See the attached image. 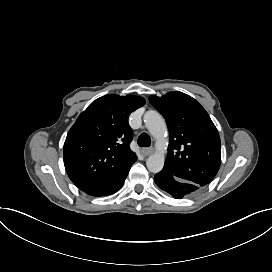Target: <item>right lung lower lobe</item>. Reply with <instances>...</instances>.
<instances>
[{"label": "right lung lower lobe", "mask_w": 272, "mask_h": 272, "mask_svg": "<svg viewBox=\"0 0 272 272\" xmlns=\"http://www.w3.org/2000/svg\"><path fill=\"white\" fill-rule=\"evenodd\" d=\"M130 167L127 168L122 173H120L119 175H117L116 177H114L113 179H111L110 181H107L105 183H102L96 186L85 188L82 191H84L88 195L95 196V197L107 196V195L113 194L122 187L129 173Z\"/></svg>", "instance_id": "right-lung-lower-lobe-1"}]
</instances>
